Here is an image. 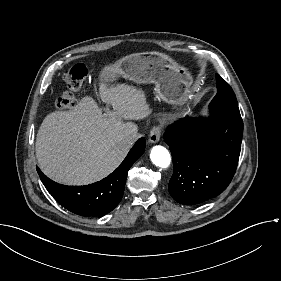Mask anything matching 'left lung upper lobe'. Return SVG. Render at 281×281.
<instances>
[{
    "label": "left lung upper lobe",
    "mask_w": 281,
    "mask_h": 281,
    "mask_svg": "<svg viewBox=\"0 0 281 281\" xmlns=\"http://www.w3.org/2000/svg\"><path fill=\"white\" fill-rule=\"evenodd\" d=\"M216 81L218 90L216 96L213 98L210 105L219 103H229L232 105H238L236 96L230 85L218 74H216Z\"/></svg>",
    "instance_id": "5c2ea615"
}]
</instances>
